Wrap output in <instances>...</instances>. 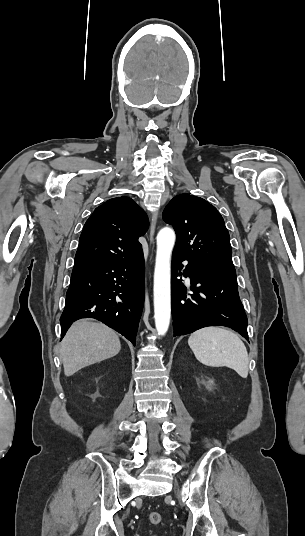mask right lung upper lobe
<instances>
[{"instance_id":"right-lung-upper-lobe-1","label":"right lung upper lobe","mask_w":305,"mask_h":536,"mask_svg":"<svg viewBox=\"0 0 305 536\" xmlns=\"http://www.w3.org/2000/svg\"><path fill=\"white\" fill-rule=\"evenodd\" d=\"M149 223L129 197L112 198L95 209L79 239L73 271L88 269L142 253L138 238Z\"/></svg>"}]
</instances>
